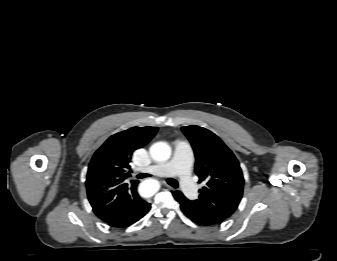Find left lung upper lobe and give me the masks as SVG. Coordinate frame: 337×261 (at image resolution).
Listing matches in <instances>:
<instances>
[{
    "label": "left lung upper lobe",
    "mask_w": 337,
    "mask_h": 261,
    "mask_svg": "<svg viewBox=\"0 0 337 261\" xmlns=\"http://www.w3.org/2000/svg\"><path fill=\"white\" fill-rule=\"evenodd\" d=\"M195 157V172L206 186L198 200L190 201L224 221L232 215L242 198L244 179L232 151L211 131L199 126L182 127Z\"/></svg>",
    "instance_id": "1"
}]
</instances>
